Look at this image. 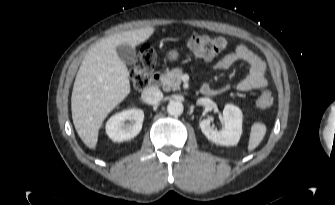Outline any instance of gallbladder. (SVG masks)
<instances>
[{
  "instance_id": "bac80fb5",
  "label": "gallbladder",
  "mask_w": 335,
  "mask_h": 205,
  "mask_svg": "<svg viewBox=\"0 0 335 205\" xmlns=\"http://www.w3.org/2000/svg\"><path fill=\"white\" fill-rule=\"evenodd\" d=\"M116 52L119 58L129 66L136 62L135 48L128 44H120L116 47Z\"/></svg>"
}]
</instances>
